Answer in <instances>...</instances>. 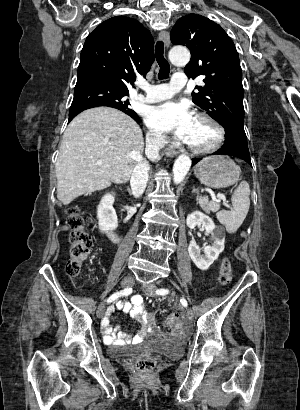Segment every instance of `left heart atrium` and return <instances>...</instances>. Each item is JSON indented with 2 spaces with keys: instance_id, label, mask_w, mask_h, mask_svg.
Here are the masks:
<instances>
[{
  "instance_id": "left-heart-atrium-1",
  "label": "left heart atrium",
  "mask_w": 300,
  "mask_h": 410,
  "mask_svg": "<svg viewBox=\"0 0 300 410\" xmlns=\"http://www.w3.org/2000/svg\"><path fill=\"white\" fill-rule=\"evenodd\" d=\"M196 119L186 103L169 101L153 107L147 123L156 132L172 133L183 142L189 143Z\"/></svg>"
}]
</instances>
